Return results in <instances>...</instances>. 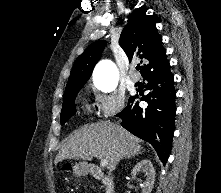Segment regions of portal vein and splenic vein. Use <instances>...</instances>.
<instances>
[{
  "instance_id": "1",
  "label": "portal vein and splenic vein",
  "mask_w": 221,
  "mask_h": 193,
  "mask_svg": "<svg viewBox=\"0 0 221 193\" xmlns=\"http://www.w3.org/2000/svg\"><path fill=\"white\" fill-rule=\"evenodd\" d=\"M100 165H101L102 167H106V166L108 165L107 160L101 159V160H100Z\"/></svg>"
}]
</instances>
